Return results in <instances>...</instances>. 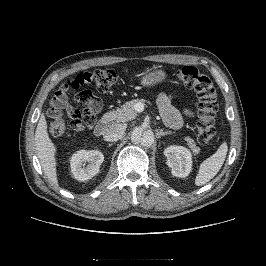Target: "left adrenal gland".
I'll list each match as a JSON object with an SVG mask.
<instances>
[{
  "mask_svg": "<svg viewBox=\"0 0 266 266\" xmlns=\"http://www.w3.org/2000/svg\"><path fill=\"white\" fill-rule=\"evenodd\" d=\"M157 134L159 136H165V135H170L172 133L170 131H163V130L160 129V130H158Z\"/></svg>",
  "mask_w": 266,
  "mask_h": 266,
  "instance_id": "obj_1",
  "label": "left adrenal gland"
}]
</instances>
